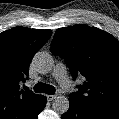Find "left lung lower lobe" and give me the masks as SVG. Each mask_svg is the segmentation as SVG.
<instances>
[{"instance_id":"1","label":"left lung lower lobe","mask_w":119,"mask_h":119,"mask_svg":"<svg viewBox=\"0 0 119 119\" xmlns=\"http://www.w3.org/2000/svg\"><path fill=\"white\" fill-rule=\"evenodd\" d=\"M69 102V110L62 115V119H119L93 111L77 101L69 100Z\"/></svg>"}]
</instances>
